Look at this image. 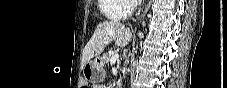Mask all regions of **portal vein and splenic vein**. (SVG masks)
I'll return each mask as SVG.
<instances>
[{
	"instance_id": "portal-vein-and-splenic-vein-1",
	"label": "portal vein and splenic vein",
	"mask_w": 227,
	"mask_h": 88,
	"mask_svg": "<svg viewBox=\"0 0 227 88\" xmlns=\"http://www.w3.org/2000/svg\"><path fill=\"white\" fill-rule=\"evenodd\" d=\"M119 59L118 54H113L112 57L110 58V63L113 65L116 63V61Z\"/></svg>"
}]
</instances>
